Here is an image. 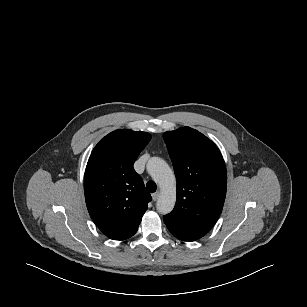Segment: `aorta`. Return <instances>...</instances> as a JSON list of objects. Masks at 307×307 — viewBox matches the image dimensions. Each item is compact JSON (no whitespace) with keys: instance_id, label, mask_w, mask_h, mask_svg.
<instances>
[{"instance_id":"aorta-1","label":"aorta","mask_w":307,"mask_h":307,"mask_svg":"<svg viewBox=\"0 0 307 307\" xmlns=\"http://www.w3.org/2000/svg\"><path fill=\"white\" fill-rule=\"evenodd\" d=\"M147 171L160 187L157 210L162 214L170 213L176 202V179L169 165L159 157H152L146 165Z\"/></svg>"}]
</instances>
